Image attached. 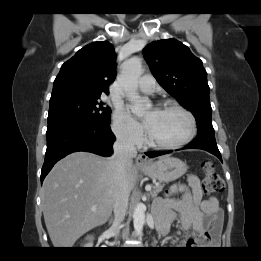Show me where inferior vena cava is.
Here are the masks:
<instances>
[{"mask_svg": "<svg viewBox=\"0 0 261 261\" xmlns=\"http://www.w3.org/2000/svg\"><path fill=\"white\" fill-rule=\"evenodd\" d=\"M114 154L111 157L113 166V226L118 229L123 222L128 206L130 189L126 179V170L133 164V158L137 150L133 139L126 135L117 137L114 146Z\"/></svg>", "mask_w": 261, "mask_h": 261, "instance_id": "obj_1", "label": "inferior vena cava"}]
</instances>
